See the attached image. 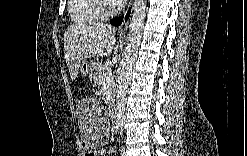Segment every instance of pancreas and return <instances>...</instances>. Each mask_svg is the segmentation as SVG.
I'll list each match as a JSON object with an SVG mask.
<instances>
[{
	"mask_svg": "<svg viewBox=\"0 0 247 156\" xmlns=\"http://www.w3.org/2000/svg\"><path fill=\"white\" fill-rule=\"evenodd\" d=\"M109 70H111L110 64H108V63L97 64L95 75L93 77L95 83H97L98 85H103V83L105 82V73ZM109 81H110L109 89H110V91H114L115 90V81H114L113 77H111L109 79Z\"/></svg>",
	"mask_w": 247,
	"mask_h": 156,
	"instance_id": "1",
	"label": "pancreas"
}]
</instances>
